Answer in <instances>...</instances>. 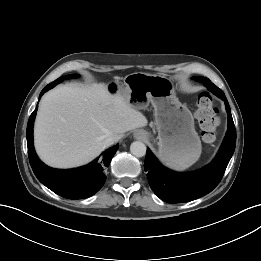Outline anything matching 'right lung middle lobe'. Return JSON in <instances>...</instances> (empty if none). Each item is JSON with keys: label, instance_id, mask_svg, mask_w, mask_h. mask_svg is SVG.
I'll return each mask as SVG.
<instances>
[{"label": "right lung middle lobe", "instance_id": "obj_1", "mask_svg": "<svg viewBox=\"0 0 261 261\" xmlns=\"http://www.w3.org/2000/svg\"><path fill=\"white\" fill-rule=\"evenodd\" d=\"M77 75H68V76H66L65 78L67 79V78H71V77H76ZM64 80V77H60V78H58L57 80H55L56 82H61V81H63Z\"/></svg>", "mask_w": 261, "mask_h": 261}]
</instances>
